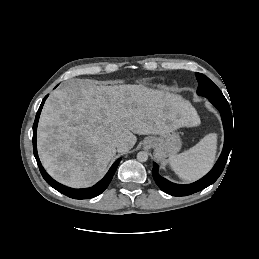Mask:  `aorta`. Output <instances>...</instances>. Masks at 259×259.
I'll use <instances>...</instances> for the list:
<instances>
[{
    "label": "aorta",
    "mask_w": 259,
    "mask_h": 259,
    "mask_svg": "<svg viewBox=\"0 0 259 259\" xmlns=\"http://www.w3.org/2000/svg\"><path fill=\"white\" fill-rule=\"evenodd\" d=\"M137 160L140 162H146L148 160V153L145 151L138 152Z\"/></svg>",
    "instance_id": "762f6f07"
}]
</instances>
